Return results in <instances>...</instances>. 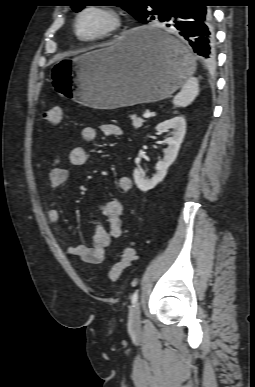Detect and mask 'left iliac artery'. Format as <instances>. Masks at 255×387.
Masks as SVG:
<instances>
[{"instance_id":"44dca946","label":"left iliac artery","mask_w":255,"mask_h":387,"mask_svg":"<svg viewBox=\"0 0 255 387\" xmlns=\"http://www.w3.org/2000/svg\"><path fill=\"white\" fill-rule=\"evenodd\" d=\"M138 300V291L136 290L133 295L131 296L132 304H135Z\"/></svg>"}]
</instances>
